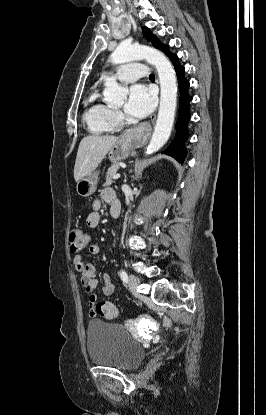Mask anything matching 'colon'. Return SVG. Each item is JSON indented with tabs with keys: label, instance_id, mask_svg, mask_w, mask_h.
Segmentation results:
<instances>
[{
	"label": "colon",
	"instance_id": "5ec220e1",
	"mask_svg": "<svg viewBox=\"0 0 266 415\" xmlns=\"http://www.w3.org/2000/svg\"><path fill=\"white\" fill-rule=\"evenodd\" d=\"M89 242L88 235L82 229H75L69 235V246L71 252L83 250ZM93 314L107 319H114L118 316V308L110 302H99L93 308Z\"/></svg>",
	"mask_w": 266,
	"mask_h": 415
}]
</instances>
